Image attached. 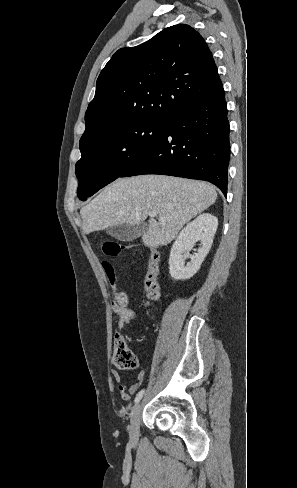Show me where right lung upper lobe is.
I'll return each instance as SVG.
<instances>
[{"label": "right lung upper lobe", "mask_w": 297, "mask_h": 488, "mask_svg": "<svg viewBox=\"0 0 297 488\" xmlns=\"http://www.w3.org/2000/svg\"><path fill=\"white\" fill-rule=\"evenodd\" d=\"M221 86L203 37L188 25L168 27L141 45L118 50L106 64L85 113L80 150L129 124L169 120Z\"/></svg>", "instance_id": "1"}]
</instances>
